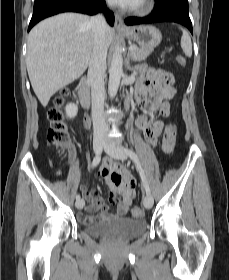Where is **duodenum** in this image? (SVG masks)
<instances>
[{
  "label": "duodenum",
  "mask_w": 229,
  "mask_h": 280,
  "mask_svg": "<svg viewBox=\"0 0 229 280\" xmlns=\"http://www.w3.org/2000/svg\"><path fill=\"white\" fill-rule=\"evenodd\" d=\"M78 97L81 105L84 108H88L91 102L90 85L88 84L85 77H82L81 83L78 87Z\"/></svg>",
  "instance_id": "410a0bca"
}]
</instances>
